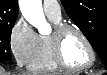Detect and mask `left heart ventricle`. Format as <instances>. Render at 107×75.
Returning <instances> with one entry per match:
<instances>
[{
	"label": "left heart ventricle",
	"instance_id": "b2bd125f",
	"mask_svg": "<svg viewBox=\"0 0 107 75\" xmlns=\"http://www.w3.org/2000/svg\"><path fill=\"white\" fill-rule=\"evenodd\" d=\"M62 50L65 60L72 66H82L90 60L87 46L74 31H69L64 35Z\"/></svg>",
	"mask_w": 107,
	"mask_h": 75
}]
</instances>
